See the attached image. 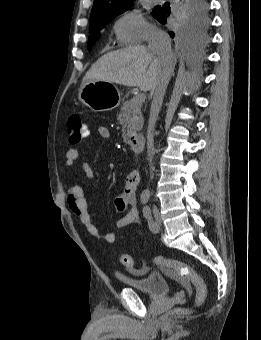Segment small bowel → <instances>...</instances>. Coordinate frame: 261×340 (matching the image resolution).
I'll return each mask as SVG.
<instances>
[{"label": "small bowel", "mask_w": 261, "mask_h": 340, "mask_svg": "<svg viewBox=\"0 0 261 340\" xmlns=\"http://www.w3.org/2000/svg\"><path fill=\"white\" fill-rule=\"evenodd\" d=\"M98 134L102 138H110V131L105 126H100L98 128ZM90 135V128L85 125V138ZM80 154L76 148H70L65 154V165L67 167H72L75 165L76 161L79 159ZM81 168L85 176L89 180L95 178V173L90 166V164L84 161ZM139 173L137 170H131L127 175L124 183L123 191L115 198L114 204L118 211H126V215L118 220L115 224L116 228L122 229L130 225L139 222V212L136 206V189L139 183ZM67 203L70 210L78 218L79 222L84 226L87 232L106 243H114L116 236L113 232L101 233L95 223L92 221L91 216L88 212L87 201L84 197L83 189L80 185H72L67 192ZM187 292L191 293V288L187 287Z\"/></svg>", "instance_id": "c3829d8e"}]
</instances>
